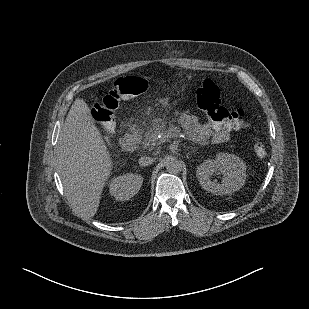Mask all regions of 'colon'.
<instances>
[{
  "instance_id": "colon-1",
  "label": "colon",
  "mask_w": 309,
  "mask_h": 309,
  "mask_svg": "<svg viewBox=\"0 0 309 309\" xmlns=\"http://www.w3.org/2000/svg\"><path fill=\"white\" fill-rule=\"evenodd\" d=\"M150 89V84L137 76L119 77L113 83L102 89L97 95V114L106 133L116 130V109L121 100L130 99ZM196 102L209 122L228 127H239L245 120V111L241 108L229 110L221 104L219 87L211 79H205L196 92ZM254 152L259 158L267 155L266 146L262 141L253 145Z\"/></svg>"
}]
</instances>
